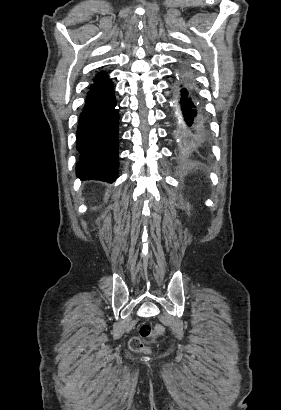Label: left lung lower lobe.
I'll use <instances>...</instances> for the list:
<instances>
[{"mask_svg": "<svg viewBox=\"0 0 281 410\" xmlns=\"http://www.w3.org/2000/svg\"><path fill=\"white\" fill-rule=\"evenodd\" d=\"M177 78L174 112L178 126L177 137L194 150H205L210 144V133L192 76L182 71Z\"/></svg>", "mask_w": 281, "mask_h": 410, "instance_id": "obj_1", "label": "left lung lower lobe"}]
</instances>
